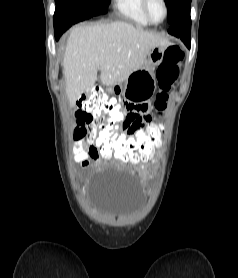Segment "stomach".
I'll return each mask as SVG.
<instances>
[{"label": "stomach", "instance_id": "obj_1", "mask_svg": "<svg viewBox=\"0 0 238 278\" xmlns=\"http://www.w3.org/2000/svg\"><path fill=\"white\" fill-rule=\"evenodd\" d=\"M164 52L165 48L162 46L150 49L146 55V63L141 69L132 72L124 84H114V95H117L118 99L149 102L156 89L153 68L162 62Z\"/></svg>", "mask_w": 238, "mask_h": 278}]
</instances>
